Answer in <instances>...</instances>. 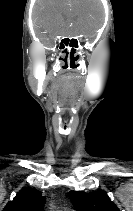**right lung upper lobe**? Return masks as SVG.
Here are the masks:
<instances>
[{
  "label": "right lung upper lobe",
  "mask_w": 133,
  "mask_h": 211,
  "mask_svg": "<svg viewBox=\"0 0 133 211\" xmlns=\"http://www.w3.org/2000/svg\"><path fill=\"white\" fill-rule=\"evenodd\" d=\"M45 197L41 192L32 188H23L9 201L3 211H43Z\"/></svg>",
  "instance_id": "1"
}]
</instances>
